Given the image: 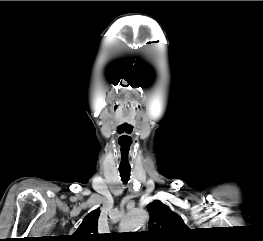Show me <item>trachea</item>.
<instances>
[{
    "instance_id": "trachea-1",
    "label": "trachea",
    "mask_w": 263,
    "mask_h": 241,
    "mask_svg": "<svg viewBox=\"0 0 263 241\" xmlns=\"http://www.w3.org/2000/svg\"><path fill=\"white\" fill-rule=\"evenodd\" d=\"M119 172H120V177H121V180L124 182V183H127L129 178H130V172L131 170L129 169H119Z\"/></svg>"
}]
</instances>
